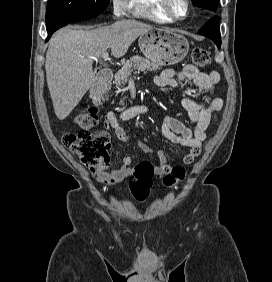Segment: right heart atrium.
<instances>
[{
	"label": "right heart atrium",
	"mask_w": 272,
	"mask_h": 282,
	"mask_svg": "<svg viewBox=\"0 0 272 282\" xmlns=\"http://www.w3.org/2000/svg\"><path fill=\"white\" fill-rule=\"evenodd\" d=\"M111 12L115 19H120L132 12L129 0H111Z\"/></svg>",
	"instance_id": "1"
}]
</instances>
